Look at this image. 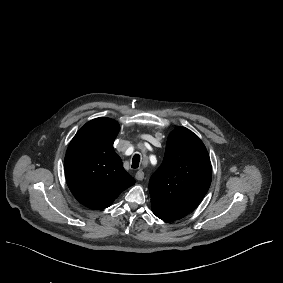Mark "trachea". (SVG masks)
<instances>
[{
  "label": "trachea",
  "mask_w": 283,
  "mask_h": 283,
  "mask_svg": "<svg viewBox=\"0 0 283 283\" xmlns=\"http://www.w3.org/2000/svg\"><path fill=\"white\" fill-rule=\"evenodd\" d=\"M139 163H140V155L139 154H135L132 158V168L133 169H137L139 167Z\"/></svg>",
  "instance_id": "trachea-1"
}]
</instances>
